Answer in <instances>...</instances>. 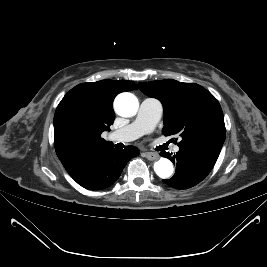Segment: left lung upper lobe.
Returning <instances> with one entry per match:
<instances>
[{
	"instance_id": "left-lung-upper-lobe-1",
	"label": "left lung upper lobe",
	"mask_w": 267,
	"mask_h": 267,
	"mask_svg": "<svg viewBox=\"0 0 267 267\" xmlns=\"http://www.w3.org/2000/svg\"><path fill=\"white\" fill-rule=\"evenodd\" d=\"M138 86L145 95L161 101L164 108L162 133L180 136L179 148L220 153L226 136L223 112L208 90L195 83L173 79L141 82Z\"/></svg>"
}]
</instances>
